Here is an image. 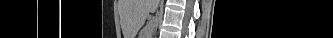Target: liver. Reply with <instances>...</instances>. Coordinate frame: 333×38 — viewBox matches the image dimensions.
<instances>
[{
	"label": "liver",
	"instance_id": "liver-1",
	"mask_svg": "<svg viewBox=\"0 0 333 38\" xmlns=\"http://www.w3.org/2000/svg\"><path fill=\"white\" fill-rule=\"evenodd\" d=\"M159 0H124L121 2V11L133 9L135 16V26L140 28L145 22L149 12H154L158 6Z\"/></svg>",
	"mask_w": 333,
	"mask_h": 38
}]
</instances>
